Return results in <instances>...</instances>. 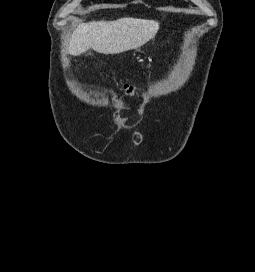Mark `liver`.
<instances>
[{
	"label": "liver",
	"mask_w": 255,
	"mask_h": 272,
	"mask_svg": "<svg viewBox=\"0 0 255 272\" xmlns=\"http://www.w3.org/2000/svg\"><path fill=\"white\" fill-rule=\"evenodd\" d=\"M159 30L153 20L121 18L80 24L70 39L68 52L77 56L88 49L103 54H118L138 49L151 40Z\"/></svg>",
	"instance_id": "liver-1"
}]
</instances>
